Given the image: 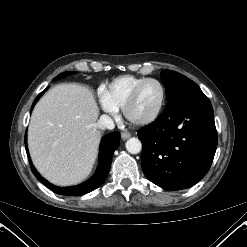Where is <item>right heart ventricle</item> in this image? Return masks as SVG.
<instances>
[{
	"mask_svg": "<svg viewBox=\"0 0 247 247\" xmlns=\"http://www.w3.org/2000/svg\"><path fill=\"white\" fill-rule=\"evenodd\" d=\"M145 79V77L133 75H124L115 78L104 90L106 100L116 110L122 109L134 87Z\"/></svg>",
	"mask_w": 247,
	"mask_h": 247,
	"instance_id": "e07e8e85",
	"label": "right heart ventricle"
}]
</instances>
